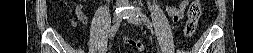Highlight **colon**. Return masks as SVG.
<instances>
[{"instance_id": "5ec220e1", "label": "colon", "mask_w": 253, "mask_h": 53, "mask_svg": "<svg viewBox=\"0 0 253 53\" xmlns=\"http://www.w3.org/2000/svg\"><path fill=\"white\" fill-rule=\"evenodd\" d=\"M202 15V7L200 0H193L188 9V19L185 25L184 33L186 36H192L196 30L198 21ZM126 44L142 50L144 45L141 41L133 38H128Z\"/></svg>"}]
</instances>
